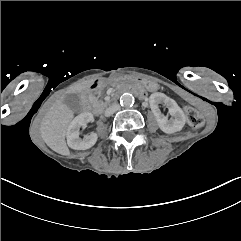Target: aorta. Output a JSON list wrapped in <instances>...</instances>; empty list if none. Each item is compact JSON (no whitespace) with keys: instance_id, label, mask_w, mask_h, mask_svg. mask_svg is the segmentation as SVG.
Segmentation results:
<instances>
[{"instance_id":"1","label":"aorta","mask_w":241,"mask_h":241,"mask_svg":"<svg viewBox=\"0 0 241 241\" xmlns=\"http://www.w3.org/2000/svg\"><path fill=\"white\" fill-rule=\"evenodd\" d=\"M120 104L122 106H132L134 104V96L130 93H124L120 97Z\"/></svg>"}]
</instances>
